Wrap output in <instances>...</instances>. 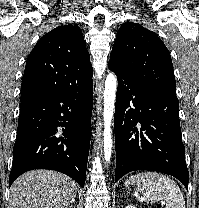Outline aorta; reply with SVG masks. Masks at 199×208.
Wrapping results in <instances>:
<instances>
[{"mask_svg":"<svg viewBox=\"0 0 199 208\" xmlns=\"http://www.w3.org/2000/svg\"><path fill=\"white\" fill-rule=\"evenodd\" d=\"M117 90V78L114 73L106 76L104 85V109H103V152L104 160L109 163L112 155L113 139H112V121L115 110V99Z\"/></svg>","mask_w":199,"mask_h":208,"instance_id":"762f6f07","label":"aorta"}]
</instances>
